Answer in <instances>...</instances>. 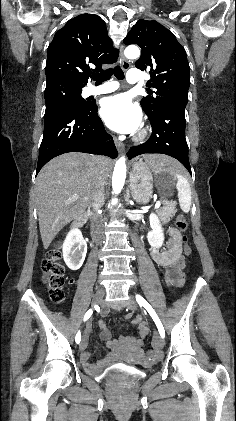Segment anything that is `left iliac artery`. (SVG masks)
Returning a JSON list of instances; mask_svg holds the SVG:
<instances>
[{
	"label": "left iliac artery",
	"mask_w": 236,
	"mask_h": 421,
	"mask_svg": "<svg viewBox=\"0 0 236 421\" xmlns=\"http://www.w3.org/2000/svg\"><path fill=\"white\" fill-rule=\"evenodd\" d=\"M136 301L138 302V304L140 306H143L148 311V313L152 317L153 321L155 322L161 337L164 338L165 337L164 327H163L159 317L157 316L156 312L151 307V305L139 294L136 295Z\"/></svg>",
	"instance_id": "obj_1"
}]
</instances>
